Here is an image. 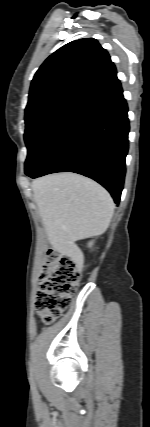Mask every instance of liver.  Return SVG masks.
<instances>
[{
	"label": "liver",
	"instance_id": "obj_1",
	"mask_svg": "<svg viewBox=\"0 0 150 427\" xmlns=\"http://www.w3.org/2000/svg\"><path fill=\"white\" fill-rule=\"evenodd\" d=\"M31 187L48 240L60 253L77 251V240L103 234L111 222L114 202L89 178L52 174L34 180Z\"/></svg>",
	"mask_w": 150,
	"mask_h": 427
}]
</instances>
